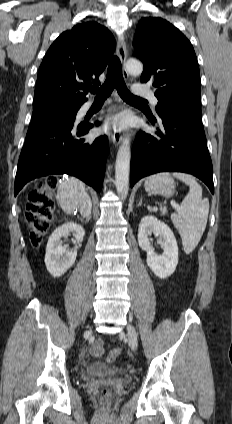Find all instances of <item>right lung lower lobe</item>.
Segmentation results:
<instances>
[{"label": "right lung lower lobe", "mask_w": 232, "mask_h": 424, "mask_svg": "<svg viewBox=\"0 0 232 424\" xmlns=\"http://www.w3.org/2000/svg\"><path fill=\"white\" fill-rule=\"evenodd\" d=\"M76 113L71 116L66 111H52L45 121L31 122L18 161L15 195L35 178L64 173L101 190L109 152L108 139L107 136L94 140L83 137L93 124L82 122L77 126Z\"/></svg>", "instance_id": "right-lung-lower-lobe-1"}]
</instances>
